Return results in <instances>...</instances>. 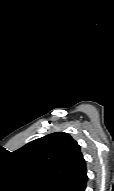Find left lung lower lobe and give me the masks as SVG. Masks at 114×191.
I'll return each mask as SVG.
<instances>
[{
    "label": "left lung lower lobe",
    "mask_w": 114,
    "mask_h": 191,
    "mask_svg": "<svg viewBox=\"0 0 114 191\" xmlns=\"http://www.w3.org/2000/svg\"><path fill=\"white\" fill-rule=\"evenodd\" d=\"M87 170L85 169L77 176V178L70 184L66 191H85L87 182Z\"/></svg>",
    "instance_id": "0a47b994"
}]
</instances>
